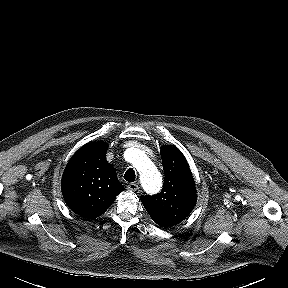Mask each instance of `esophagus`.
Here are the masks:
<instances>
[{"instance_id": "obj_1", "label": "esophagus", "mask_w": 288, "mask_h": 288, "mask_svg": "<svg viewBox=\"0 0 288 288\" xmlns=\"http://www.w3.org/2000/svg\"><path fill=\"white\" fill-rule=\"evenodd\" d=\"M127 189L130 191H137L139 189V186L137 183H129Z\"/></svg>"}]
</instances>
